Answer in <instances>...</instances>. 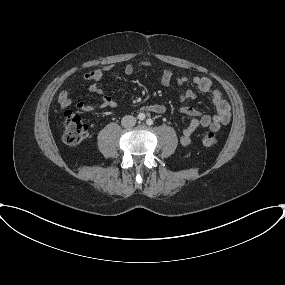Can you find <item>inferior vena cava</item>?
<instances>
[{
  "label": "inferior vena cava",
  "instance_id": "602c4592",
  "mask_svg": "<svg viewBox=\"0 0 285 285\" xmlns=\"http://www.w3.org/2000/svg\"><path fill=\"white\" fill-rule=\"evenodd\" d=\"M135 123H136V118L134 116H131V115H126L121 120V124L125 128L132 127L135 125Z\"/></svg>",
  "mask_w": 285,
  "mask_h": 285
}]
</instances>
